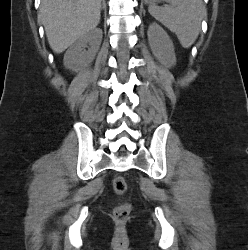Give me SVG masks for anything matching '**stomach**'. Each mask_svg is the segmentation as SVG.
<instances>
[{"label":"stomach","mask_w":248,"mask_h":250,"mask_svg":"<svg viewBox=\"0 0 248 250\" xmlns=\"http://www.w3.org/2000/svg\"><path fill=\"white\" fill-rule=\"evenodd\" d=\"M163 0H145L146 3L152 5V4H155L156 2H161Z\"/></svg>","instance_id":"0dacf381"}]
</instances>
